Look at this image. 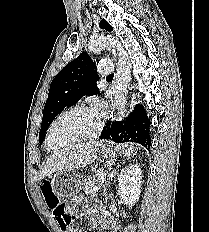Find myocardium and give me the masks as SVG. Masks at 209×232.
Here are the masks:
<instances>
[{
	"label": "myocardium",
	"mask_w": 209,
	"mask_h": 232,
	"mask_svg": "<svg viewBox=\"0 0 209 232\" xmlns=\"http://www.w3.org/2000/svg\"><path fill=\"white\" fill-rule=\"evenodd\" d=\"M78 110H82V111H93L89 106L84 105V104H80V105H75V106H71L65 110H63L54 120L53 122L50 124L46 137H45V146L48 150L50 151H56L59 150L61 148H64L70 144L76 143V142H81L90 138H93L95 136H97L100 131L102 130L103 127V118H100L98 124L96 125V127L89 133L84 134L82 136L73 138L68 140L67 142H65L64 144H62L61 146L57 147V148H53L50 145V137L53 131V128L55 127V125L59 122V120L64 117L66 114L73 112V111H78Z\"/></svg>",
	"instance_id": "obj_1"
}]
</instances>
